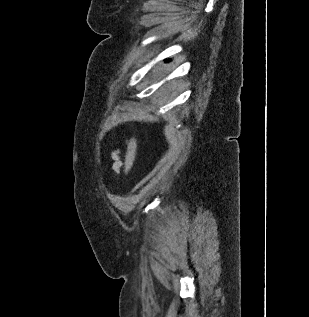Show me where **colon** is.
Instances as JSON below:
<instances>
[{"label":"colon","mask_w":309,"mask_h":317,"mask_svg":"<svg viewBox=\"0 0 309 317\" xmlns=\"http://www.w3.org/2000/svg\"><path fill=\"white\" fill-rule=\"evenodd\" d=\"M137 140L135 138L130 139L125 156V172L129 173L133 167L136 153H137Z\"/></svg>","instance_id":"colon-1"}]
</instances>
